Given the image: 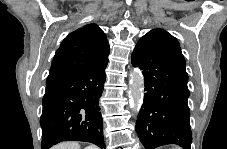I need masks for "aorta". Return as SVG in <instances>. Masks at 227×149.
<instances>
[{"label":"aorta","instance_id":"aorta-1","mask_svg":"<svg viewBox=\"0 0 227 149\" xmlns=\"http://www.w3.org/2000/svg\"><path fill=\"white\" fill-rule=\"evenodd\" d=\"M129 98L132 109L138 112L144 98V79L138 70H133L130 73Z\"/></svg>","mask_w":227,"mask_h":149}]
</instances>
